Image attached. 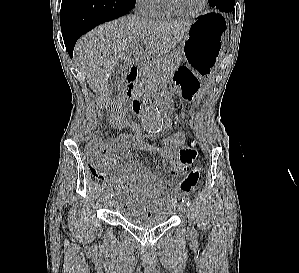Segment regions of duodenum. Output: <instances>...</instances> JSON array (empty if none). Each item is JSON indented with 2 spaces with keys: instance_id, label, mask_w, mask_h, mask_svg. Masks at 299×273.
<instances>
[{
  "instance_id": "1",
  "label": "duodenum",
  "mask_w": 299,
  "mask_h": 273,
  "mask_svg": "<svg viewBox=\"0 0 299 273\" xmlns=\"http://www.w3.org/2000/svg\"><path fill=\"white\" fill-rule=\"evenodd\" d=\"M139 68L134 65L130 68L127 75V99L130 102V108L134 113H138L142 107V100H140L135 93V84L138 78Z\"/></svg>"
}]
</instances>
